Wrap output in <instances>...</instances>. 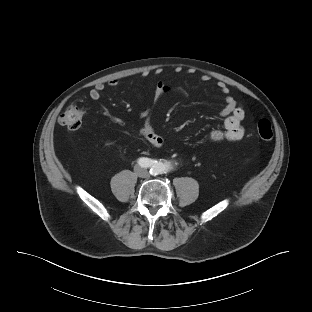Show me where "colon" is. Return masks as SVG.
Wrapping results in <instances>:
<instances>
[{
    "instance_id": "obj_1",
    "label": "colon",
    "mask_w": 312,
    "mask_h": 312,
    "mask_svg": "<svg viewBox=\"0 0 312 312\" xmlns=\"http://www.w3.org/2000/svg\"><path fill=\"white\" fill-rule=\"evenodd\" d=\"M84 114V109L80 103L71 102L64 112L59 116L58 122L67 129L79 128ZM258 136L264 141H270L273 137L272 125L267 119H260L257 123Z\"/></svg>"
}]
</instances>
